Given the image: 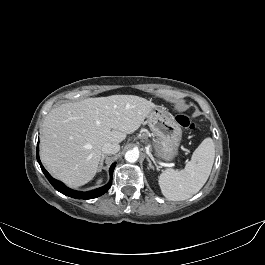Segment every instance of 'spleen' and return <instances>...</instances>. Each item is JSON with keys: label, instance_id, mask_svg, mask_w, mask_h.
<instances>
[{"label": "spleen", "instance_id": "1", "mask_svg": "<svg viewBox=\"0 0 265 265\" xmlns=\"http://www.w3.org/2000/svg\"><path fill=\"white\" fill-rule=\"evenodd\" d=\"M215 158L214 142L206 138L193 152L185 168L167 169L159 176L162 194L172 201L186 200L196 194L206 183Z\"/></svg>", "mask_w": 265, "mask_h": 265}]
</instances>
